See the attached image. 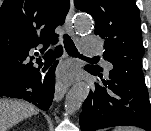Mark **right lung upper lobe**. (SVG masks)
I'll use <instances>...</instances> for the list:
<instances>
[{
	"label": "right lung upper lobe",
	"instance_id": "cb5924a9",
	"mask_svg": "<svg viewBox=\"0 0 151 131\" xmlns=\"http://www.w3.org/2000/svg\"><path fill=\"white\" fill-rule=\"evenodd\" d=\"M69 0H4L0 8V89L33 75L29 52L43 53L57 40L55 28L64 23ZM40 64L41 59H40Z\"/></svg>",
	"mask_w": 151,
	"mask_h": 131
}]
</instances>
